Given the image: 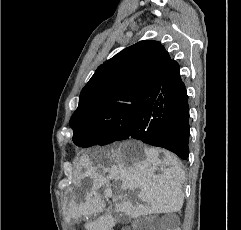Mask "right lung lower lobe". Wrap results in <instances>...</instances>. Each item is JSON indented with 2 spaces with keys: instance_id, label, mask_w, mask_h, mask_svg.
Listing matches in <instances>:
<instances>
[{
  "instance_id": "right-lung-lower-lobe-1",
  "label": "right lung lower lobe",
  "mask_w": 241,
  "mask_h": 230,
  "mask_svg": "<svg viewBox=\"0 0 241 230\" xmlns=\"http://www.w3.org/2000/svg\"><path fill=\"white\" fill-rule=\"evenodd\" d=\"M150 122L143 132H134L129 138L166 148L182 159L189 155V106L186 88L175 61L163 77L156 99L145 108Z\"/></svg>"
}]
</instances>
